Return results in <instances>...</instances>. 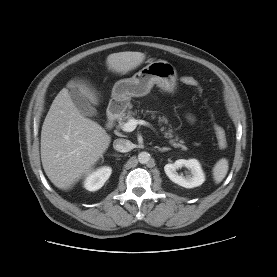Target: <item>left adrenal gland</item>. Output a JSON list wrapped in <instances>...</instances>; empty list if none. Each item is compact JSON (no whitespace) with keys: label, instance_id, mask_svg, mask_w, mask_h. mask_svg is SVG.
Segmentation results:
<instances>
[{"label":"left adrenal gland","instance_id":"left-adrenal-gland-1","mask_svg":"<svg viewBox=\"0 0 277 277\" xmlns=\"http://www.w3.org/2000/svg\"><path fill=\"white\" fill-rule=\"evenodd\" d=\"M158 150H159L160 152H165V151L171 150V148H168V147L160 148V147H158Z\"/></svg>","mask_w":277,"mask_h":277}]
</instances>
